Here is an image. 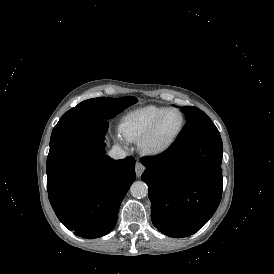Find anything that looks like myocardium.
Returning <instances> with one entry per match:
<instances>
[{
    "instance_id": "f54148a6",
    "label": "myocardium",
    "mask_w": 274,
    "mask_h": 274,
    "mask_svg": "<svg viewBox=\"0 0 274 274\" xmlns=\"http://www.w3.org/2000/svg\"><path fill=\"white\" fill-rule=\"evenodd\" d=\"M172 111H177L180 113L181 117H182V124L179 128V130L177 131V133L166 143L165 146L161 147V148H152L150 146V141L151 139L154 137V135L156 134L161 122L163 121V119L165 118V116L172 112ZM187 124V118L186 115L184 113V111L180 108L177 107H169L166 108L161 115L154 121V123L145 131V133L140 137V139L138 140V148L139 151L146 157L149 158H159L162 157L163 155H165L166 153H168L171 148L174 146V144L176 143V141L179 139V137L182 135L185 127Z\"/></svg>"
}]
</instances>
